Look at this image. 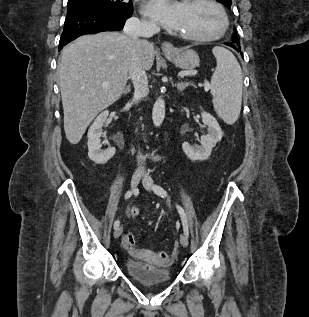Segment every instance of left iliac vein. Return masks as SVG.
Here are the masks:
<instances>
[{
  "instance_id": "left-iliac-vein-1",
  "label": "left iliac vein",
  "mask_w": 309,
  "mask_h": 317,
  "mask_svg": "<svg viewBox=\"0 0 309 317\" xmlns=\"http://www.w3.org/2000/svg\"><path fill=\"white\" fill-rule=\"evenodd\" d=\"M142 183L143 186L147 189V190H151L152 186H153V180L148 176V175H144L143 179H142ZM180 243L183 247H187L188 246V238L185 234H181L180 235Z\"/></svg>"
}]
</instances>
